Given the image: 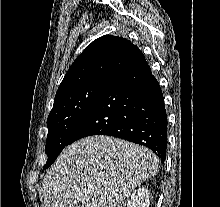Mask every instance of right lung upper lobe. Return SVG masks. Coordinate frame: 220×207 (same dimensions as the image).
<instances>
[{"mask_svg":"<svg viewBox=\"0 0 220 207\" xmlns=\"http://www.w3.org/2000/svg\"><path fill=\"white\" fill-rule=\"evenodd\" d=\"M144 58V54L127 39L113 35L102 36L89 44L76 58L56 96L96 80L108 79Z\"/></svg>","mask_w":220,"mask_h":207,"instance_id":"cb5924a9","label":"right lung upper lobe"}]
</instances>
